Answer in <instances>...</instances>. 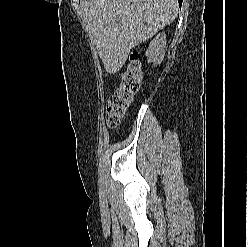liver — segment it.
Returning a JSON list of instances; mask_svg holds the SVG:
<instances>
[{
  "label": "liver",
  "instance_id": "liver-1",
  "mask_svg": "<svg viewBox=\"0 0 248 247\" xmlns=\"http://www.w3.org/2000/svg\"><path fill=\"white\" fill-rule=\"evenodd\" d=\"M82 19L105 70L117 73L131 49L174 21L177 0H80Z\"/></svg>",
  "mask_w": 248,
  "mask_h": 247
}]
</instances>
